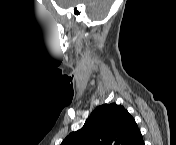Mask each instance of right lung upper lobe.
I'll use <instances>...</instances> for the list:
<instances>
[{
	"label": "right lung upper lobe",
	"instance_id": "1",
	"mask_svg": "<svg viewBox=\"0 0 176 145\" xmlns=\"http://www.w3.org/2000/svg\"><path fill=\"white\" fill-rule=\"evenodd\" d=\"M61 145H144L129 112L115 103L98 106L85 125L70 133Z\"/></svg>",
	"mask_w": 176,
	"mask_h": 145
}]
</instances>
